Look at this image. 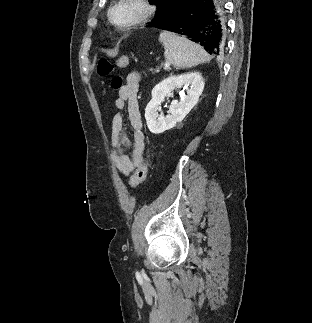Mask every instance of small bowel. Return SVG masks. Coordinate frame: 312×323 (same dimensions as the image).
I'll return each instance as SVG.
<instances>
[{"label": "small bowel", "mask_w": 312, "mask_h": 323, "mask_svg": "<svg viewBox=\"0 0 312 323\" xmlns=\"http://www.w3.org/2000/svg\"><path fill=\"white\" fill-rule=\"evenodd\" d=\"M140 80L138 72H130L127 75L126 83L119 89L115 99L117 112L114 114L111 124L110 156L115 167L125 176H129L144 163L145 133L137 99ZM125 108H127L129 122L133 131L130 155H127L124 151V148L130 143L126 134V123L123 114Z\"/></svg>", "instance_id": "small-bowel-1"}]
</instances>
